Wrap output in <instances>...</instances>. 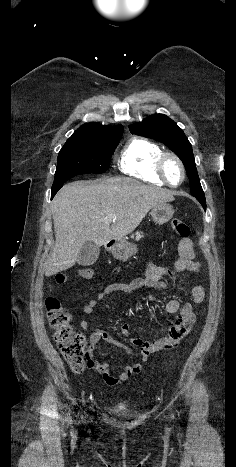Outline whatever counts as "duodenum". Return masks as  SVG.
<instances>
[{
  "label": "duodenum",
  "instance_id": "obj_1",
  "mask_svg": "<svg viewBox=\"0 0 236 467\" xmlns=\"http://www.w3.org/2000/svg\"><path fill=\"white\" fill-rule=\"evenodd\" d=\"M114 244H115V241H113V240H108L107 243H106V247H107L108 249H111V248H113Z\"/></svg>",
  "mask_w": 236,
  "mask_h": 467
}]
</instances>
